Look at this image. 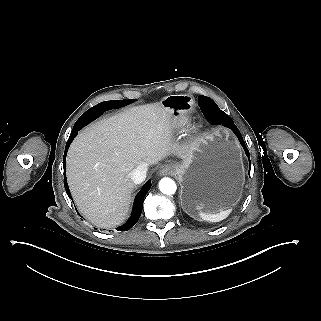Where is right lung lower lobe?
I'll return each instance as SVG.
<instances>
[{
  "mask_svg": "<svg viewBox=\"0 0 321 321\" xmlns=\"http://www.w3.org/2000/svg\"><path fill=\"white\" fill-rule=\"evenodd\" d=\"M127 105V103H119V104H112V105H105L98 107V105L90 108L88 111H86L75 123L72 133L70 135V138L68 139V142L65 147V154H64V161L66 158V154L68 151V148L73 141V139L76 137L78 131L82 129L84 126L89 124L91 121L95 120L97 117L103 114V112L110 110V109H116L120 108L122 106ZM64 186L65 190L68 194L69 197H71L68 184L66 182V178L64 179ZM151 187V180H148L147 183L143 186L141 191L136 195L134 205H133V210L131 217L128 219V221L123 224L122 226L117 228V231H127L129 230L132 226L136 224V222L139 220L141 212H142V207H143V201L144 197L147 194Z\"/></svg>",
  "mask_w": 321,
  "mask_h": 321,
  "instance_id": "98d812e1",
  "label": "right lung lower lobe"
}]
</instances>
